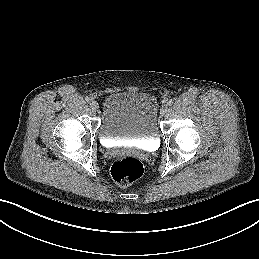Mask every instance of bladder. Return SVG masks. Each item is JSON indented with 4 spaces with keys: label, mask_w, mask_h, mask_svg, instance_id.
<instances>
[{
    "label": "bladder",
    "mask_w": 259,
    "mask_h": 259,
    "mask_svg": "<svg viewBox=\"0 0 259 259\" xmlns=\"http://www.w3.org/2000/svg\"><path fill=\"white\" fill-rule=\"evenodd\" d=\"M158 103L147 92L123 91L109 94L102 104L98 130L103 142L149 143L158 139Z\"/></svg>",
    "instance_id": "31cf9c89"
}]
</instances>
